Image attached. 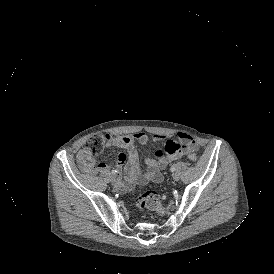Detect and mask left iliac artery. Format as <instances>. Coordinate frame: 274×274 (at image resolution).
<instances>
[{
	"mask_svg": "<svg viewBox=\"0 0 274 274\" xmlns=\"http://www.w3.org/2000/svg\"><path fill=\"white\" fill-rule=\"evenodd\" d=\"M170 170H171V172H174V171L176 170L175 166H172V167L170 168Z\"/></svg>",
	"mask_w": 274,
	"mask_h": 274,
	"instance_id": "obj_1",
	"label": "left iliac artery"
}]
</instances>
